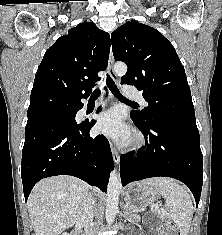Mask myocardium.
<instances>
[{"instance_id": "1", "label": "myocardium", "mask_w": 222, "mask_h": 235, "mask_svg": "<svg viewBox=\"0 0 222 235\" xmlns=\"http://www.w3.org/2000/svg\"><path fill=\"white\" fill-rule=\"evenodd\" d=\"M144 145V138L142 135L138 134L134 137L133 141H132V144H131V147L132 149L134 150H138L140 148H142Z\"/></svg>"}]
</instances>
